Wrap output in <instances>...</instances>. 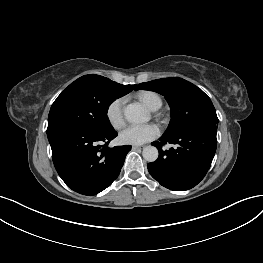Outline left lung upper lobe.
I'll return each mask as SVG.
<instances>
[{"label": "left lung upper lobe", "instance_id": "obj_1", "mask_svg": "<svg viewBox=\"0 0 263 263\" xmlns=\"http://www.w3.org/2000/svg\"><path fill=\"white\" fill-rule=\"evenodd\" d=\"M138 89L155 91L168 101L172 119L163 136L171 137L189 129H217L218 118L210 98L191 82L178 77L163 78L138 84Z\"/></svg>", "mask_w": 263, "mask_h": 263}]
</instances>
